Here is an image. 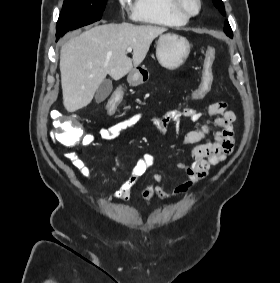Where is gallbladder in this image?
<instances>
[{"instance_id": "bac80fb5", "label": "gallbladder", "mask_w": 280, "mask_h": 283, "mask_svg": "<svg viewBox=\"0 0 280 283\" xmlns=\"http://www.w3.org/2000/svg\"><path fill=\"white\" fill-rule=\"evenodd\" d=\"M112 81L111 79H105L100 86L98 87L95 93V102L101 103L103 102L112 92Z\"/></svg>"}]
</instances>
